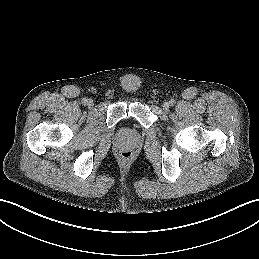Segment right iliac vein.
I'll return each mask as SVG.
<instances>
[{
    "label": "right iliac vein",
    "mask_w": 259,
    "mask_h": 259,
    "mask_svg": "<svg viewBox=\"0 0 259 259\" xmlns=\"http://www.w3.org/2000/svg\"><path fill=\"white\" fill-rule=\"evenodd\" d=\"M93 105H94L93 101L92 100H88L87 106L88 107H92Z\"/></svg>",
    "instance_id": "obj_1"
}]
</instances>
